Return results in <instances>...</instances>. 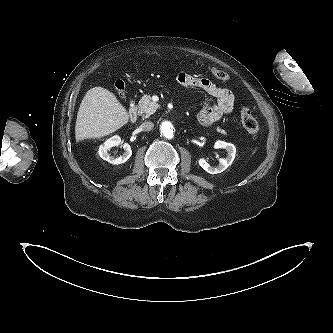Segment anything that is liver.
I'll use <instances>...</instances> for the list:
<instances>
[{
    "label": "liver",
    "instance_id": "obj_1",
    "mask_svg": "<svg viewBox=\"0 0 333 333\" xmlns=\"http://www.w3.org/2000/svg\"><path fill=\"white\" fill-rule=\"evenodd\" d=\"M128 120L126 108L112 92L103 87L91 88L77 113L75 139L79 142L107 136L126 125Z\"/></svg>",
    "mask_w": 333,
    "mask_h": 333
}]
</instances>
